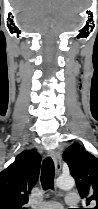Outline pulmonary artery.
Returning <instances> with one entry per match:
<instances>
[{"label": "pulmonary artery", "instance_id": "pulmonary-artery-1", "mask_svg": "<svg viewBox=\"0 0 98 209\" xmlns=\"http://www.w3.org/2000/svg\"><path fill=\"white\" fill-rule=\"evenodd\" d=\"M65 203L69 206H76L79 203V197L75 192H69L65 197ZM38 209H63L59 202L49 201L41 205Z\"/></svg>", "mask_w": 98, "mask_h": 209}]
</instances>
